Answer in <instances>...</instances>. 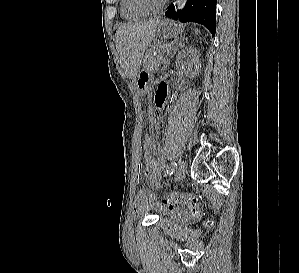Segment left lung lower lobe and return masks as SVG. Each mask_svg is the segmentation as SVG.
<instances>
[{
    "label": "left lung lower lobe",
    "instance_id": "left-lung-lower-lobe-1",
    "mask_svg": "<svg viewBox=\"0 0 299 273\" xmlns=\"http://www.w3.org/2000/svg\"><path fill=\"white\" fill-rule=\"evenodd\" d=\"M216 2L217 0H187L186 6L177 12L174 5L166 11L165 16L181 22L203 24L212 34L216 33Z\"/></svg>",
    "mask_w": 299,
    "mask_h": 273
}]
</instances>
